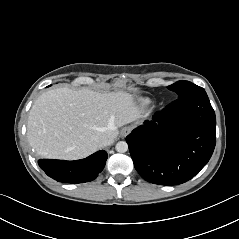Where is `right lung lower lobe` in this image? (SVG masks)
Segmentation results:
<instances>
[{
  "label": "right lung lower lobe",
  "instance_id": "98d812e1",
  "mask_svg": "<svg viewBox=\"0 0 239 239\" xmlns=\"http://www.w3.org/2000/svg\"><path fill=\"white\" fill-rule=\"evenodd\" d=\"M107 160L106 151L76 161L40 159V168L51 178L63 183H84L97 178Z\"/></svg>",
  "mask_w": 239,
  "mask_h": 239
}]
</instances>
